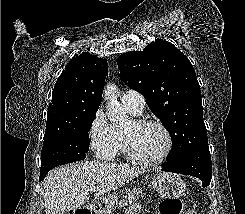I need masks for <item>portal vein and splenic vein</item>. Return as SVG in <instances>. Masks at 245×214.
I'll return each instance as SVG.
<instances>
[{"label":"portal vein and splenic vein","mask_w":245,"mask_h":214,"mask_svg":"<svg viewBox=\"0 0 245 214\" xmlns=\"http://www.w3.org/2000/svg\"><path fill=\"white\" fill-rule=\"evenodd\" d=\"M95 190H96V187H95V186H93V185L90 186V191H91V192H95Z\"/></svg>","instance_id":"18ae733b"}]
</instances>
